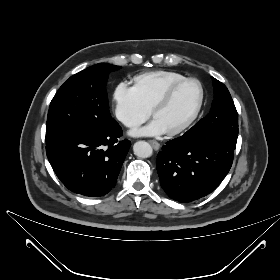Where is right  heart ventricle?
Wrapping results in <instances>:
<instances>
[{
    "label": "right heart ventricle",
    "instance_id": "obj_1",
    "mask_svg": "<svg viewBox=\"0 0 280 280\" xmlns=\"http://www.w3.org/2000/svg\"><path fill=\"white\" fill-rule=\"evenodd\" d=\"M184 78V75L174 71L157 70L138 74L133 81L141 100L151 109L168 86Z\"/></svg>",
    "mask_w": 280,
    "mask_h": 280
}]
</instances>
